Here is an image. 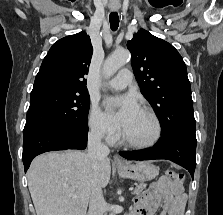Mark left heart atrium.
Returning <instances> with one entry per match:
<instances>
[{"instance_id":"left-heart-atrium-1","label":"left heart atrium","mask_w":223,"mask_h":215,"mask_svg":"<svg viewBox=\"0 0 223 215\" xmlns=\"http://www.w3.org/2000/svg\"><path fill=\"white\" fill-rule=\"evenodd\" d=\"M105 106L115 124L120 128H123L139 109L133 95L108 97L105 100Z\"/></svg>"}]
</instances>
